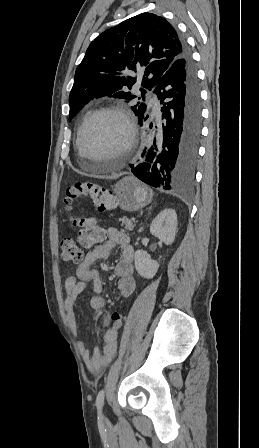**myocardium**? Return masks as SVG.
<instances>
[{
  "label": "myocardium",
  "instance_id": "myocardium-1",
  "mask_svg": "<svg viewBox=\"0 0 259 448\" xmlns=\"http://www.w3.org/2000/svg\"><path fill=\"white\" fill-rule=\"evenodd\" d=\"M107 114H116L120 116L124 120L127 129L125 140L115 148L116 156L125 155L132 150L136 138V123L133 115L127 107L120 104H112L95 110L81 124L77 134V149L75 152L76 163L81 162V154L84 149L83 138L88 126L99 117Z\"/></svg>",
  "mask_w": 259,
  "mask_h": 448
}]
</instances>
